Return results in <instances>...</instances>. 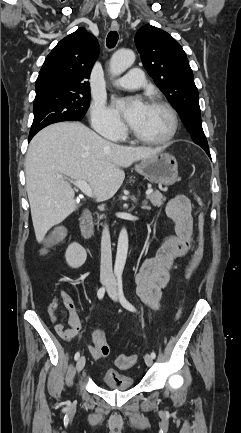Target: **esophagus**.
Instances as JSON below:
<instances>
[{
	"instance_id": "1",
	"label": "esophagus",
	"mask_w": 241,
	"mask_h": 433,
	"mask_svg": "<svg viewBox=\"0 0 241 433\" xmlns=\"http://www.w3.org/2000/svg\"><path fill=\"white\" fill-rule=\"evenodd\" d=\"M111 29H112V30H118V29H119V24H118V22L113 21V22L111 23Z\"/></svg>"
}]
</instances>
